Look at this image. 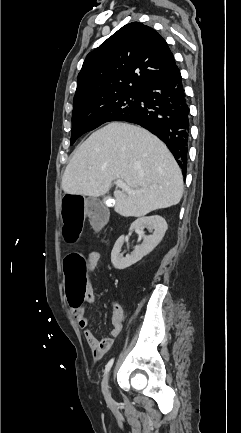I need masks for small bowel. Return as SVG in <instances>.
<instances>
[{
  "label": "small bowel",
  "mask_w": 241,
  "mask_h": 433,
  "mask_svg": "<svg viewBox=\"0 0 241 433\" xmlns=\"http://www.w3.org/2000/svg\"><path fill=\"white\" fill-rule=\"evenodd\" d=\"M100 259V253L97 251H93L87 256V269L90 273H92L97 263ZM86 300L90 303L94 302V293L92 286L89 285V291L86 296ZM74 305H71V312L74 316L78 326L84 330V335L87 340L88 345L91 348L93 357L95 359H101L111 348L113 344L114 338L118 337L123 329V318L124 312L121 304L114 300L112 303V330L111 337L97 338L92 330L89 328V320L85 315V310L82 308L79 312H76L73 309Z\"/></svg>",
  "instance_id": "small-bowel-1"
}]
</instances>
